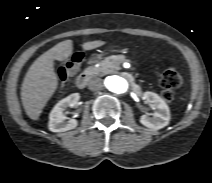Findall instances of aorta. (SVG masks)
<instances>
[{
  "mask_svg": "<svg viewBox=\"0 0 212 183\" xmlns=\"http://www.w3.org/2000/svg\"><path fill=\"white\" fill-rule=\"evenodd\" d=\"M105 87L114 94H124L129 89V82L125 77L112 75L106 77Z\"/></svg>",
  "mask_w": 212,
  "mask_h": 183,
  "instance_id": "aorta-1",
  "label": "aorta"
}]
</instances>
